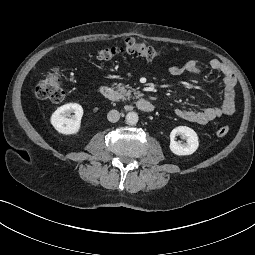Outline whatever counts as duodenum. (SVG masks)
<instances>
[{
    "label": "duodenum",
    "mask_w": 255,
    "mask_h": 255,
    "mask_svg": "<svg viewBox=\"0 0 255 255\" xmlns=\"http://www.w3.org/2000/svg\"><path fill=\"white\" fill-rule=\"evenodd\" d=\"M100 93L108 101H115L118 98L117 92L107 85H102L100 87ZM136 107L145 113L152 112L154 110V105L147 99L140 98L135 102Z\"/></svg>",
    "instance_id": "duodenum-1"
}]
</instances>
